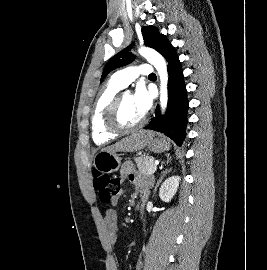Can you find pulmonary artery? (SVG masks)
Instances as JSON below:
<instances>
[{"mask_svg":"<svg viewBox=\"0 0 267 270\" xmlns=\"http://www.w3.org/2000/svg\"><path fill=\"white\" fill-rule=\"evenodd\" d=\"M152 73V66L149 64H140L137 66H129L115 72L111 79L124 88L134 81L139 75H150Z\"/></svg>","mask_w":267,"mask_h":270,"instance_id":"e3ab8cb5","label":"pulmonary artery"}]
</instances>
